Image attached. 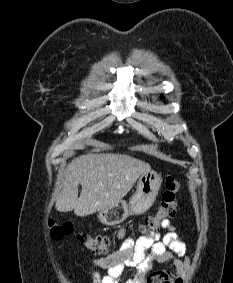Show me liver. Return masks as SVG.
<instances>
[{"label":"liver","mask_w":233,"mask_h":283,"mask_svg":"<svg viewBox=\"0 0 233 283\" xmlns=\"http://www.w3.org/2000/svg\"><path fill=\"white\" fill-rule=\"evenodd\" d=\"M149 169L148 163L126 154L81 156L67 166L55 208L59 212L74 210L75 215L84 217L112 207ZM79 184L82 191L78 198Z\"/></svg>","instance_id":"1"}]
</instances>
